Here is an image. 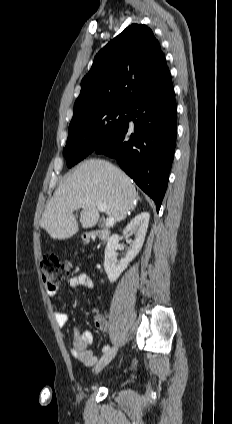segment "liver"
I'll return each instance as SVG.
<instances>
[{
  "label": "liver",
  "instance_id": "6515ba94",
  "mask_svg": "<svg viewBox=\"0 0 232 424\" xmlns=\"http://www.w3.org/2000/svg\"><path fill=\"white\" fill-rule=\"evenodd\" d=\"M138 199L132 180L108 161L89 159L67 174L47 203L40 226L53 239H69L79 231L73 212L82 208L83 228L94 227L100 217L98 203L114 222L125 219Z\"/></svg>",
  "mask_w": 232,
  "mask_h": 424
}]
</instances>
